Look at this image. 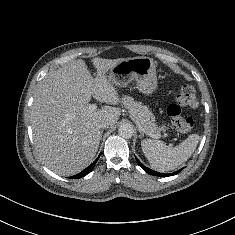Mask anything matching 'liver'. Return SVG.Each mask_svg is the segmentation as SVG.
Masks as SVG:
<instances>
[{
  "label": "liver",
  "instance_id": "obj_1",
  "mask_svg": "<svg viewBox=\"0 0 235 235\" xmlns=\"http://www.w3.org/2000/svg\"><path fill=\"white\" fill-rule=\"evenodd\" d=\"M121 59L94 58L93 78L83 60L48 73L37 85L31 107L35 147L43 163L59 175H74L94 159L102 137L99 124L113 126L120 110L112 106L90 111L92 96L110 105L119 103L108 73Z\"/></svg>",
  "mask_w": 235,
  "mask_h": 235
}]
</instances>
